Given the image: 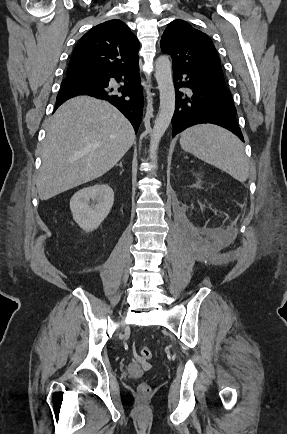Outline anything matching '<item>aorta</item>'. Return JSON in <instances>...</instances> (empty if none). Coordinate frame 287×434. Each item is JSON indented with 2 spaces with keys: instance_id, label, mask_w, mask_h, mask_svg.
I'll use <instances>...</instances> for the list:
<instances>
[{
  "instance_id": "aorta-1",
  "label": "aorta",
  "mask_w": 287,
  "mask_h": 434,
  "mask_svg": "<svg viewBox=\"0 0 287 434\" xmlns=\"http://www.w3.org/2000/svg\"><path fill=\"white\" fill-rule=\"evenodd\" d=\"M155 77L160 92V107L150 139V159L153 164L157 162L159 142L169 127L175 110L172 67L167 56L162 55L156 60Z\"/></svg>"
}]
</instances>
